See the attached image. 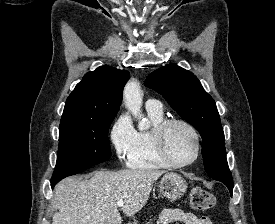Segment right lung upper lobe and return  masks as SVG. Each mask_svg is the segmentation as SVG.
Returning <instances> with one entry per match:
<instances>
[{"mask_svg":"<svg viewBox=\"0 0 275 224\" xmlns=\"http://www.w3.org/2000/svg\"><path fill=\"white\" fill-rule=\"evenodd\" d=\"M129 76L107 65L85 74L66 100L61 123L115 117Z\"/></svg>","mask_w":275,"mask_h":224,"instance_id":"obj_1","label":"right lung upper lobe"}]
</instances>
